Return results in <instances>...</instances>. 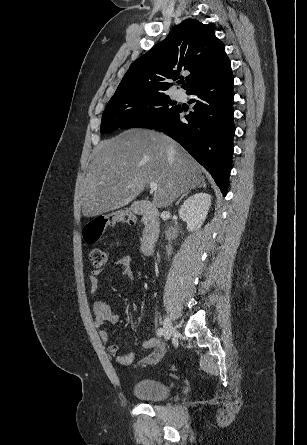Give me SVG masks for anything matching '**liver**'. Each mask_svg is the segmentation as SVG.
Wrapping results in <instances>:
<instances>
[{
  "label": "liver",
  "instance_id": "liver-1",
  "mask_svg": "<svg viewBox=\"0 0 307 445\" xmlns=\"http://www.w3.org/2000/svg\"><path fill=\"white\" fill-rule=\"evenodd\" d=\"M201 166L163 132L128 128L101 140L85 178L82 214L97 216L128 204L148 182H157L153 204L169 206L175 198L204 184Z\"/></svg>",
  "mask_w": 307,
  "mask_h": 445
}]
</instances>
